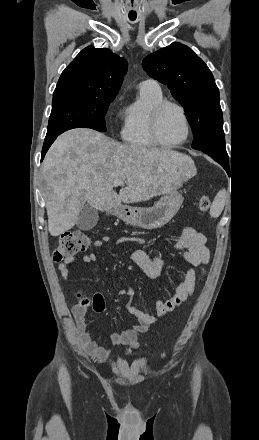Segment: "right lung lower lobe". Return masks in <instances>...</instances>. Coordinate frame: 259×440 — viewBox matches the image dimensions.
Instances as JSON below:
<instances>
[{"instance_id": "1", "label": "right lung lower lobe", "mask_w": 259, "mask_h": 440, "mask_svg": "<svg viewBox=\"0 0 259 440\" xmlns=\"http://www.w3.org/2000/svg\"><path fill=\"white\" fill-rule=\"evenodd\" d=\"M58 136V135H57ZM57 136H54L52 138L46 139L44 141L43 149H42V155H41V161L43 160L46 152L48 151L51 144L54 142V140L57 138Z\"/></svg>"}]
</instances>
